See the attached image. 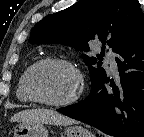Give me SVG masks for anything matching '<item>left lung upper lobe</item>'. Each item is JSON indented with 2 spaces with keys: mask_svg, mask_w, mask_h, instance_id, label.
Listing matches in <instances>:
<instances>
[{
  "mask_svg": "<svg viewBox=\"0 0 144 137\" xmlns=\"http://www.w3.org/2000/svg\"><path fill=\"white\" fill-rule=\"evenodd\" d=\"M144 24V13L137 0H81L60 12L47 15L32 29L30 42L60 43L78 51H89L88 41L102 42L119 53L139 32ZM89 65L91 89L106 78L97 58L82 54ZM97 63V66H93Z\"/></svg>",
  "mask_w": 144,
  "mask_h": 137,
  "instance_id": "left-lung-upper-lobe-1",
  "label": "left lung upper lobe"
}]
</instances>
